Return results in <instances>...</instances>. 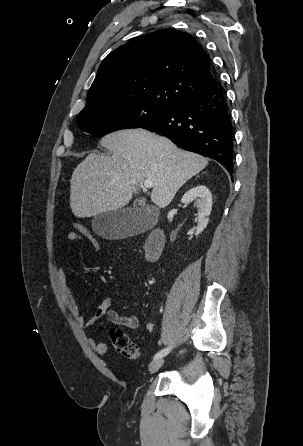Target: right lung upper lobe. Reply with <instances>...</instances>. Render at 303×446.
Returning <instances> with one entry per match:
<instances>
[{
	"label": "right lung upper lobe",
	"mask_w": 303,
	"mask_h": 446,
	"mask_svg": "<svg viewBox=\"0 0 303 446\" xmlns=\"http://www.w3.org/2000/svg\"><path fill=\"white\" fill-rule=\"evenodd\" d=\"M215 85L209 55L194 37L175 29L158 30L106 56L82 111L136 101L173 107Z\"/></svg>",
	"instance_id": "cb5924a9"
}]
</instances>
